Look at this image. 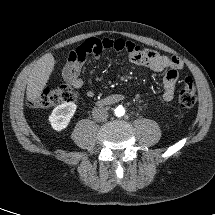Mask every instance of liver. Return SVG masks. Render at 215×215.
<instances>
[{
	"instance_id": "6515ba94",
	"label": "liver",
	"mask_w": 215,
	"mask_h": 215,
	"mask_svg": "<svg viewBox=\"0 0 215 215\" xmlns=\"http://www.w3.org/2000/svg\"><path fill=\"white\" fill-rule=\"evenodd\" d=\"M55 64L51 53L43 55L32 67L27 79L26 97L28 101H35L44 90Z\"/></svg>"
}]
</instances>
